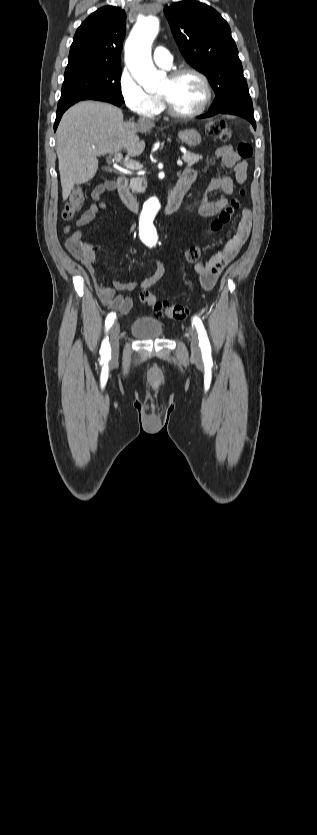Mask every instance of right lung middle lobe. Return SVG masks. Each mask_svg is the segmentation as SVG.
<instances>
[{
    "mask_svg": "<svg viewBox=\"0 0 317 835\" xmlns=\"http://www.w3.org/2000/svg\"><path fill=\"white\" fill-rule=\"evenodd\" d=\"M121 66L76 64L66 67L58 108L74 103L112 97L124 102L120 86Z\"/></svg>",
    "mask_w": 317,
    "mask_h": 835,
    "instance_id": "dd1d6c3e",
    "label": "right lung middle lobe"
}]
</instances>
